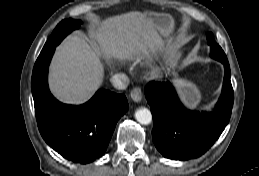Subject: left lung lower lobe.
<instances>
[{"label":"left lung lower lobe","mask_w":259,"mask_h":176,"mask_svg":"<svg viewBox=\"0 0 259 176\" xmlns=\"http://www.w3.org/2000/svg\"><path fill=\"white\" fill-rule=\"evenodd\" d=\"M222 63L225 68L222 93L211 112L187 110L170 82H151L146 86L145 96L153 116V142L164 157L175 160L197 158L225 129L234 96L228 60Z\"/></svg>","instance_id":"0a47b994"}]
</instances>
